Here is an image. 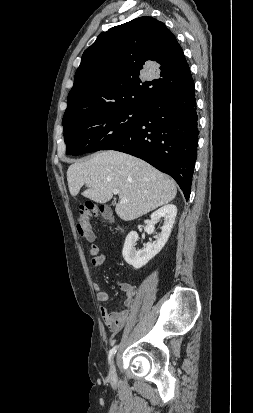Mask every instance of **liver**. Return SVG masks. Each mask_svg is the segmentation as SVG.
Wrapping results in <instances>:
<instances>
[{"label":"liver","instance_id":"6515ba94","mask_svg":"<svg viewBox=\"0 0 253 413\" xmlns=\"http://www.w3.org/2000/svg\"><path fill=\"white\" fill-rule=\"evenodd\" d=\"M70 194L106 203L118 190L116 214L124 221L139 218L171 202L177 193L175 182L147 162L119 151H102L91 158L71 164L67 170ZM127 199L122 202L121 199Z\"/></svg>","mask_w":253,"mask_h":413}]
</instances>
